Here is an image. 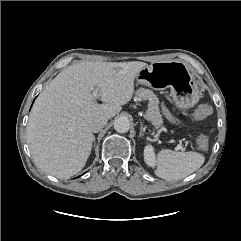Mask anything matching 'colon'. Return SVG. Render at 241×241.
<instances>
[{
  "label": "colon",
  "instance_id": "obj_1",
  "mask_svg": "<svg viewBox=\"0 0 241 241\" xmlns=\"http://www.w3.org/2000/svg\"><path fill=\"white\" fill-rule=\"evenodd\" d=\"M212 114V108L210 105L202 104L193 113V117L196 120H204ZM197 145L201 150H206L208 147V138L201 135L197 139Z\"/></svg>",
  "mask_w": 241,
  "mask_h": 241
}]
</instances>
